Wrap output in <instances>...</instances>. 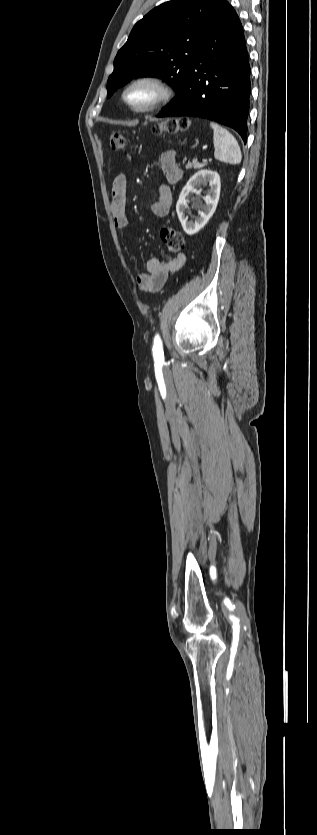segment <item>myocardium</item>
<instances>
[{
  "label": "myocardium",
  "mask_w": 317,
  "mask_h": 835,
  "mask_svg": "<svg viewBox=\"0 0 317 835\" xmlns=\"http://www.w3.org/2000/svg\"><path fill=\"white\" fill-rule=\"evenodd\" d=\"M136 87H145L149 89L151 91V97L141 104L132 102L128 95ZM171 96V87L160 77L151 75L133 78L121 91V100L131 111L135 113L151 112L166 103Z\"/></svg>",
  "instance_id": "f54148a6"
}]
</instances>
